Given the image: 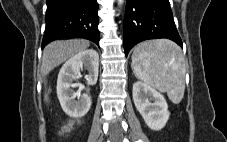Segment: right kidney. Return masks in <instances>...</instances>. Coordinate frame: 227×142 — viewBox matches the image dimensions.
<instances>
[{
    "label": "right kidney",
    "instance_id": "ca27d5eb",
    "mask_svg": "<svg viewBox=\"0 0 227 142\" xmlns=\"http://www.w3.org/2000/svg\"><path fill=\"white\" fill-rule=\"evenodd\" d=\"M83 66L88 71L85 76L88 85H95L98 79L99 55L93 49L79 52L70 58L60 69L57 79V96L61 107L73 118L85 116L91 107V98L74 90L82 87L74 82L79 78Z\"/></svg>",
    "mask_w": 227,
    "mask_h": 142
}]
</instances>
